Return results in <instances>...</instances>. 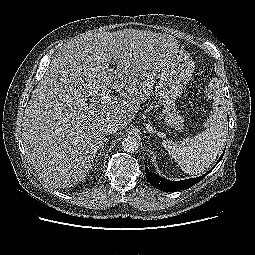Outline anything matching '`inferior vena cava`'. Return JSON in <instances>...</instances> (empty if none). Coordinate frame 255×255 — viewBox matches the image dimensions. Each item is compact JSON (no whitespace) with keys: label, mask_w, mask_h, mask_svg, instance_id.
Instances as JSON below:
<instances>
[{"label":"inferior vena cava","mask_w":255,"mask_h":255,"mask_svg":"<svg viewBox=\"0 0 255 255\" xmlns=\"http://www.w3.org/2000/svg\"><path fill=\"white\" fill-rule=\"evenodd\" d=\"M118 129H119L118 123L116 121L111 120L106 124L105 132L106 134H112L115 133Z\"/></svg>","instance_id":"602c4592"}]
</instances>
